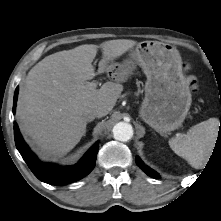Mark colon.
<instances>
[{
	"instance_id": "1",
	"label": "colon",
	"mask_w": 221,
	"mask_h": 221,
	"mask_svg": "<svg viewBox=\"0 0 221 221\" xmlns=\"http://www.w3.org/2000/svg\"><path fill=\"white\" fill-rule=\"evenodd\" d=\"M187 83L191 90H195L198 86V81L194 76H189L187 78Z\"/></svg>"
}]
</instances>
